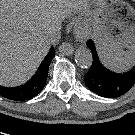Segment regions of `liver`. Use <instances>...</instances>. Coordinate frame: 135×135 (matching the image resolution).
I'll list each match as a JSON object with an SVG mask.
<instances>
[{"label": "liver", "instance_id": "6515ba94", "mask_svg": "<svg viewBox=\"0 0 135 135\" xmlns=\"http://www.w3.org/2000/svg\"><path fill=\"white\" fill-rule=\"evenodd\" d=\"M72 0H0V84L30 79L46 56V38L60 31Z\"/></svg>", "mask_w": 135, "mask_h": 135}]
</instances>
